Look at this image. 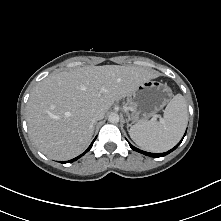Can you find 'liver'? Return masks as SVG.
I'll return each mask as SVG.
<instances>
[{
    "instance_id": "6515ba94",
    "label": "liver",
    "mask_w": 221,
    "mask_h": 221,
    "mask_svg": "<svg viewBox=\"0 0 221 221\" xmlns=\"http://www.w3.org/2000/svg\"><path fill=\"white\" fill-rule=\"evenodd\" d=\"M158 74L137 66H87L52 74L39 82L26 106L29 135L54 160H69L88 146L93 115L107 112ZM104 89V90H103Z\"/></svg>"
}]
</instances>
